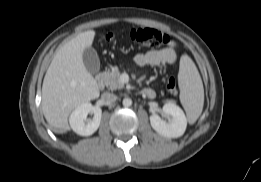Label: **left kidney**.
Instances as JSON below:
<instances>
[{
  "instance_id": "5707ae66",
  "label": "left kidney",
  "mask_w": 261,
  "mask_h": 182,
  "mask_svg": "<svg viewBox=\"0 0 261 182\" xmlns=\"http://www.w3.org/2000/svg\"><path fill=\"white\" fill-rule=\"evenodd\" d=\"M164 116H171V121L166 122L158 114L150 116L152 128L165 137L178 138L182 136L187 127V119L183 110L175 103H166L162 108Z\"/></svg>"
}]
</instances>
